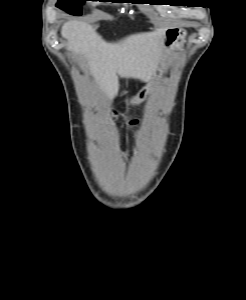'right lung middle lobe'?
<instances>
[{
  "label": "right lung middle lobe",
  "instance_id": "right-lung-middle-lobe-1",
  "mask_svg": "<svg viewBox=\"0 0 246 300\" xmlns=\"http://www.w3.org/2000/svg\"><path fill=\"white\" fill-rule=\"evenodd\" d=\"M89 0H59L56 6L71 15H81V7L79 4H83Z\"/></svg>",
  "mask_w": 246,
  "mask_h": 300
}]
</instances>
